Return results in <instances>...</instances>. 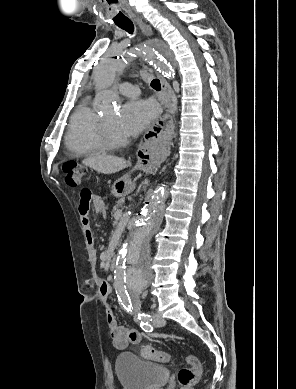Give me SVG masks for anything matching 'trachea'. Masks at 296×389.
<instances>
[{
    "mask_svg": "<svg viewBox=\"0 0 296 389\" xmlns=\"http://www.w3.org/2000/svg\"><path fill=\"white\" fill-rule=\"evenodd\" d=\"M121 29L127 31L129 34H133L134 32V25L132 22H128V23H124V24H121V25H118ZM151 87L153 89H155L156 91H160L161 90V84H160V81L158 79H153L151 81Z\"/></svg>",
    "mask_w": 296,
    "mask_h": 389,
    "instance_id": "obj_1",
    "label": "trachea"
}]
</instances>
